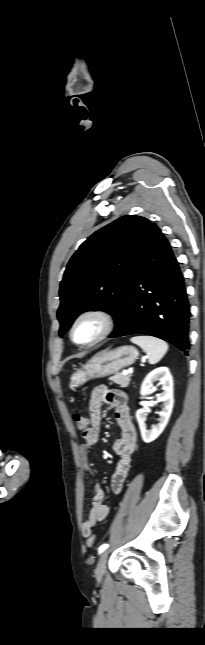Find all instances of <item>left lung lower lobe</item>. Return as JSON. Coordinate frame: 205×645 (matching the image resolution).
Instances as JSON below:
<instances>
[{
	"label": "left lung lower lobe",
	"mask_w": 205,
	"mask_h": 645,
	"mask_svg": "<svg viewBox=\"0 0 205 645\" xmlns=\"http://www.w3.org/2000/svg\"><path fill=\"white\" fill-rule=\"evenodd\" d=\"M122 313L110 337L146 334L188 355L190 306L179 263L168 240L150 223L129 270Z\"/></svg>",
	"instance_id": "obj_1"
}]
</instances>
